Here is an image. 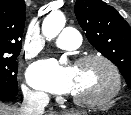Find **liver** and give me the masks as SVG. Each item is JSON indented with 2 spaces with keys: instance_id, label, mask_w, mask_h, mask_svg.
I'll list each match as a JSON object with an SVG mask.
<instances>
[{
  "instance_id": "obj_1",
  "label": "liver",
  "mask_w": 131,
  "mask_h": 115,
  "mask_svg": "<svg viewBox=\"0 0 131 115\" xmlns=\"http://www.w3.org/2000/svg\"><path fill=\"white\" fill-rule=\"evenodd\" d=\"M0 115H21V114L19 108L14 106L13 107L7 106L5 104L0 103ZM51 115H55V114L51 113Z\"/></svg>"
}]
</instances>
